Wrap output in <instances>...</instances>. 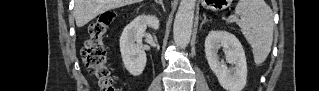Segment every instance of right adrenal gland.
Wrapping results in <instances>:
<instances>
[{
	"label": "right adrenal gland",
	"instance_id": "right-adrenal-gland-1",
	"mask_svg": "<svg viewBox=\"0 0 319 91\" xmlns=\"http://www.w3.org/2000/svg\"><path fill=\"white\" fill-rule=\"evenodd\" d=\"M155 2H156L157 4H159V5H161L162 8H163V10H165L163 0H155Z\"/></svg>",
	"mask_w": 319,
	"mask_h": 91
}]
</instances>
